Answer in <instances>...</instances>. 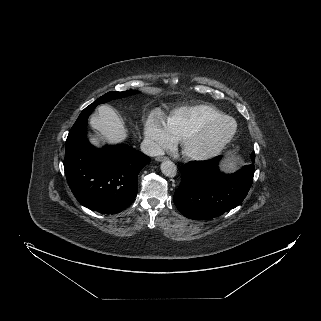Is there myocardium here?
<instances>
[{
	"mask_svg": "<svg viewBox=\"0 0 321 321\" xmlns=\"http://www.w3.org/2000/svg\"><path fill=\"white\" fill-rule=\"evenodd\" d=\"M225 122L230 123L231 127L227 134L223 136L215 145L203 150L193 148L192 145L198 138L203 136L212 127ZM236 132L237 123L232 117L223 115L220 117L212 118L201 123L194 129H192L190 132H188L186 135H184V137L181 139L182 152L186 157L193 160L211 159L219 155L227 147V145L235 137Z\"/></svg>",
	"mask_w": 321,
	"mask_h": 321,
	"instance_id": "f54148a6",
	"label": "myocardium"
}]
</instances>
